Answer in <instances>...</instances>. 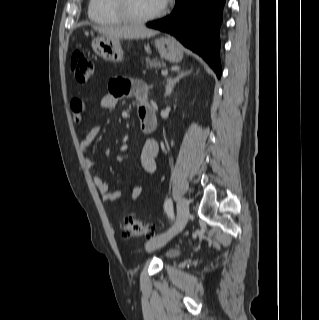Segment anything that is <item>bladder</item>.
<instances>
[{"label":"bladder","instance_id":"obj_1","mask_svg":"<svg viewBox=\"0 0 319 320\" xmlns=\"http://www.w3.org/2000/svg\"><path fill=\"white\" fill-rule=\"evenodd\" d=\"M180 250L179 249H169L165 252L164 257L167 259H173L179 256Z\"/></svg>","mask_w":319,"mask_h":320}]
</instances>
